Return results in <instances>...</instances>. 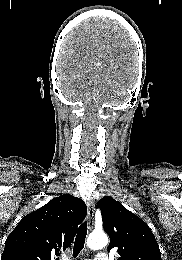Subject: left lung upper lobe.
<instances>
[{"label": "left lung upper lobe", "instance_id": "left-lung-upper-lobe-1", "mask_svg": "<svg viewBox=\"0 0 182 260\" xmlns=\"http://www.w3.org/2000/svg\"><path fill=\"white\" fill-rule=\"evenodd\" d=\"M96 207L110 238L108 251L117 248L118 260H161L155 236L142 219L112 197L102 198Z\"/></svg>", "mask_w": 182, "mask_h": 260}]
</instances>
